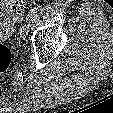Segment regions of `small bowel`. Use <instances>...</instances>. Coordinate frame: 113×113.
Masks as SVG:
<instances>
[{
    "mask_svg": "<svg viewBox=\"0 0 113 113\" xmlns=\"http://www.w3.org/2000/svg\"><path fill=\"white\" fill-rule=\"evenodd\" d=\"M3 16H4L3 14L0 15L1 18H2ZM5 23H7V22H5Z\"/></svg>",
    "mask_w": 113,
    "mask_h": 113,
    "instance_id": "small-bowel-1",
    "label": "small bowel"
}]
</instances>
